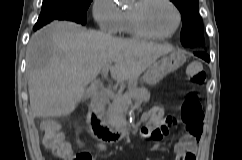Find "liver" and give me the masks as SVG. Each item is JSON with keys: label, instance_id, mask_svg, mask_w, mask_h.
I'll list each match as a JSON object with an SVG mask.
<instances>
[{"label": "liver", "instance_id": "6515ba94", "mask_svg": "<svg viewBox=\"0 0 242 160\" xmlns=\"http://www.w3.org/2000/svg\"><path fill=\"white\" fill-rule=\"evenodd\" d=\"M174 51L170 44L119 39L80 25L55 21L35 32L26 62L30 107L34 117L71 114L85 87L101 70L114 64L116 81L138 80L160 57Z\"/></svg>", "mask_w": 242, "mask_h": 160}]
</instances>
